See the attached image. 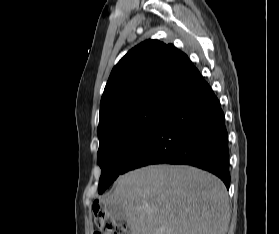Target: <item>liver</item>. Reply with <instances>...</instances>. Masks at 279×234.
I'll return each instance as SVG.
<instances>
[{
    "label": "liver",
    "mask_w": 279,
    "mask_h": 234,
    "mask_svg": "<svg viewBox=\"0 0 279 234\" xmlns=\"http://www.w3.org/2000/svg\"><path fill=\"white\" fill-rule=\"evenodd\" d=\"M103 202L123 207L131 234H224L230 218L224 183L190 166L130 171Z\"/></svg>",
    "instance_id": "1"
}]
</instances>
